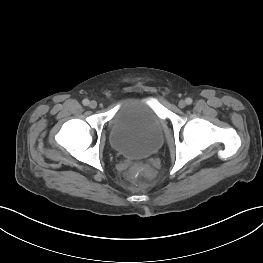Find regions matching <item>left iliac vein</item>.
Segmentation results:
<instances>
[{"mask_svg":"<svg viewBox=\"0 0 263 263\" xmlns=\"http://www.w3.org/2000/svg\"><path fill=\"white\" fill-rule=\"evenodd\" d=\"M178 106L180 108H184L186 106V102L184 100H180L179 103H178Z\"/></svg>","mask_w":263,"mask_h":263,"instance_id":"left-iliac-vein-1","label":"left iliac vein"}]
</instances>
